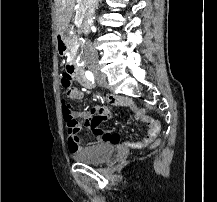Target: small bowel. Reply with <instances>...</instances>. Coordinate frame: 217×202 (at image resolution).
Masks as SVG:
<instances>
[{"label": "small bowel", "mask_w": 217, "mask_h": 202, "mask_svg": "<svg viewBox=\"0 0 217 202\" xmlns=\"http://www.w3.org/2000/svg\"><path fill=\"white\" fill-rule=\"evenodd\" d=\"M63 90H69L66 96L72 100H80L83 97V93L77 88V85H63ZM119 105L121 109H126L127 106L136 109L131 101H109V98H105L102 103L95 104L89 110L75 111L73 114L75 118L84 121L97 140L120 145V148L124 150L144 148L154 142L160 132V123L146 113H140L141 110L136 113V118H139L138 120L145 125L146 134L139 141L122 140L119 135L112 131L100 128L101 123L109 116V109H116ZM69 141H80V131H69ZM70 147H83V142H70Z\"/></svg>", "instance_id": "1"}]
</instances>
